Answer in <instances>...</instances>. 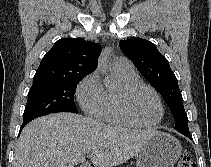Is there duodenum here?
Returning <instances> with one entry per match:
<instances>
[{
	"mask_svg": "<svg viewBox=\"0 0 211 167\" xmlns=\"http://www.w3.org/2000/svg\"><path fill=\"white\" fill-rule=\"evenodd\" d=\"M79 167H90V166H88V165H81V166H79Z\"/></svg>",
	"mask_w": 211,
	"mask_h": 167,
	"instance_id": "1",
	"label": "duodenum"
}]
</instances>
